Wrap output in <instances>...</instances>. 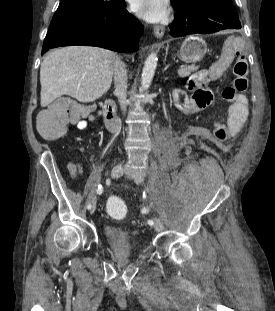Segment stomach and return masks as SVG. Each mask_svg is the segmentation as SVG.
Instances as JSON below:
<instances>
[{"label":"stomach","instance_id":"0dacf381","mask_svg":"<svg viewBox=\"0 0 275 311\" xmlns=\"http://www.w3.org/2000/svg\"><path fill=\"white\" fill-rule=\"evenodd\" d=\"M207 51L206 43L197 36H190L183 42L180 49V58L186 63L200 61Z\"/></svg>","mask_w":275,"mask_h":311}]
</instances>
